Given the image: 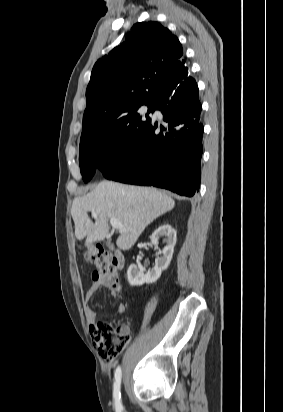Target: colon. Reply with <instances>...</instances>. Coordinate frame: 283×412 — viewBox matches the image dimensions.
Listing matches in <instances>:
<instances>
[{
  "label": "colon",
  "mask_w": 283,
  "mask_h": 412,
  "mask_svg": "<svg viewBox=\"0 0 283 412\" xmlns=\"http://www.w3.org/2000/svg\"><path fill=\"white\" fill-rule=\"evenodd\" d=\"M85 259L94 266L93 277L108 281L114 289L120 285V273L113 257L101 246L87 249ZM91 333L100 355L105 359L115 358L129 343L130 335L125 327L111 322L99 321L92 325Z\"/></svg>",
  "instance_id": "obj_1"
}]
</instances>
